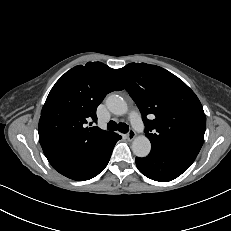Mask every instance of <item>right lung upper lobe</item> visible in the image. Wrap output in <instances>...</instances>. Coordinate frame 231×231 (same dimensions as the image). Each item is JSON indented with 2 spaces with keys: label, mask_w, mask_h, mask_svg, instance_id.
I'll use <instances>...</instances> for the list:
<instances>
[{
  "label": "right lung upper lobe",
  "mask_w": 231,
  "mask_h": 231,
  "mask_svg": "<svg viewBox=\"0 0 231 231\" xmlns=\"http://www.w3.org/2000/svg\"><path fill=\"white\" fill-rule=\"evenodd\" d=\"M114 70L101 62H88L66 72L51 89L41 111L39 141L57 171L96 153L114 133L89 127L97 123L96 109L105 96L122 90Z\"/></svg>",
  "instance_id": "cb5924a9"
}]
</instances>
